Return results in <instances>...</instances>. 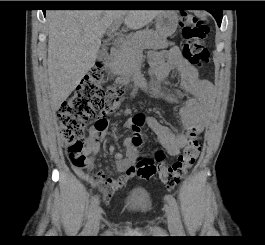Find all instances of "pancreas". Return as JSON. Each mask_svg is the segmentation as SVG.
<instances>
[{
    "instance_id": "pancreas-1",
    "label": "pancreas",
    "mask_w": 265,
    "mask_h": 245,
    "mask_svg": "<svg viewBox=\"0 0 265 245\" xmlns=\"http://www.w3.org/2000/svg\"><path fill=\"white\" fill-rule=\"evenodd\" d=\"M169 45L171 43L166 38L158 35L153 30L146 29L136 32L120 45L114 58L113 71L115 74L125 77L129 82L137 70L144 48L163 49Z\"/></svg>"
}]
</instances>
